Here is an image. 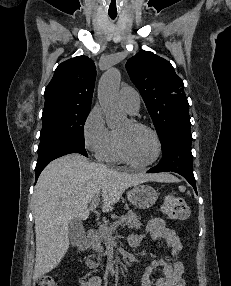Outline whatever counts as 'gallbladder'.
Masks as SVG:
<instances>
[{"instance_id": "obj_1", "label": "gallbladder", "mask_w": 231, "mask_h": 286, "mask_svg": "<svg viewBox=\"0 0 231 286\" xmlns=\"http://www.w3.org/2000/svg\"><path fill=\"white\" fill-rule=\"evenodd\" d=\"M68 230L71 232L69 234H83L84 229L81 218L78 216L72 217L68 226Z\"/></svg>"}]
</instances>
